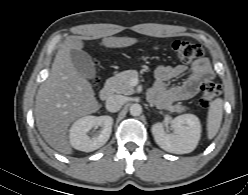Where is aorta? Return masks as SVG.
<instances>
[{
    "instance_id": "762f6f07",
    "label": "aorta",
    "mask_w": 248,
    "mask_h": 195,
    "mask_svg": "<svg viewBox=\"0 0 248 195\" xmlns=\"http://www.w3.org/2000/svg\"><path fill=\"white\" fill-rule=\"evenodd\" d=\"M142 113V106L140 104H132L130 106V114L132 116H139Z\"/></svg>"
}]
</instances>
